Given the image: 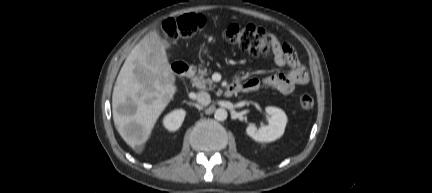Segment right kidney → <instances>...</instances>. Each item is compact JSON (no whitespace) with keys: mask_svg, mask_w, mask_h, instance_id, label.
<instances>
[{"mask_svg":"<svg viewBox=\"0 0 432 193\" xmlns=\"http://www.w3.org/2000/svg\"><path fill=\"white\" fill-rule=\"evenodd\" d=\"M185 114L186 112L182 109L174 110L169 113L163 119L164 127L169 131L178 130L184 121Z\"/></svg>","mask_w":432,"mask_h":193,"instance_id":"ca27d5eb","label":"right kidney"}]
</instances>
